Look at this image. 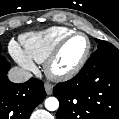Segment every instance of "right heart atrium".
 <instances>
[{
  "label": "right heart atrium",
  "mask_w": 119,
  "mask_h": 119,
  "mask_svg": "<svg viewBox=\"0 0 119 119\" xmlns=\"http://www.w3.org/2000/svg\"><path fill=\"white\" fill-rule=\"evenodd\" d=\"M10 51L16 61L26 70L30 71L35 68L33 60L27 55L16 42L10 43Z\"/></svg>",
  "instance_id": "right-heart-atrium-1"
}]
</instances>
